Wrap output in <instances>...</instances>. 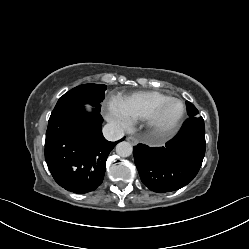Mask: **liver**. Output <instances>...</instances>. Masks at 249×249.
I'll use <instances>...</instances> for the list:
<instances>
[{"mask_svg":"<svg viewBox=\"0 0 249 249\" xmlns=\"http://www.w3.org/2000/svg\"><path fill=\"white\" fill-rule=\"evenodd\" d=\"M86 108H87L88 110H90V109H91V106H89V105H86Z\"/></svg>","mask_w":249,"mask_h":249,"instance_id":"1","label":"liver"}]
</instances>
